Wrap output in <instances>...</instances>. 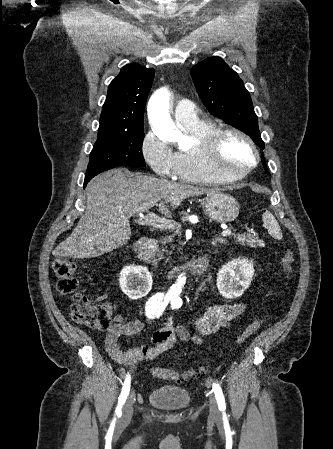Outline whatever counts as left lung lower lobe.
<instances>
[{
  "label": "left lung lower lobe",
  "mask_w": 333,
  "mask_h": 449,
  "mask_svg": "<svg viewBox=\"0 0 333 449\" xmlns=\"http://www.w3.org/2000/svg\"><path fill=\"white\" fill-rule=\"evenodd\" d=\"M262 162H263V166H264V168L266 169V171H267V168H266V163H265V160H264V158L262 157Z\"/></svg>",
  "instance_id": "0a47b994"
}]
</instances>
